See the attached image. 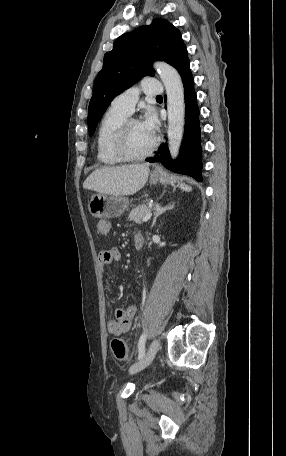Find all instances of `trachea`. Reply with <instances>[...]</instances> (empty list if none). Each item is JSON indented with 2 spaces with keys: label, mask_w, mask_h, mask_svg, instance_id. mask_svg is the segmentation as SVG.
Returning <instances> with one entry per match:
<instances>
[{
  "label": "trachea",
  "mask_w": 286,
  "mask_h": 456,
  "mask_svg": "<svg viewBox=\"0 0 286 456\" xmlns=\"http://www.w3.org/2000/svg\"><path fill=\"white\" fill-rule=\"evenodd\" d=\"M156 98H162V96H161V95H158V96H156Z\"/></svg>",
  "instance_id": "trachea-1"
}]
</instances>
